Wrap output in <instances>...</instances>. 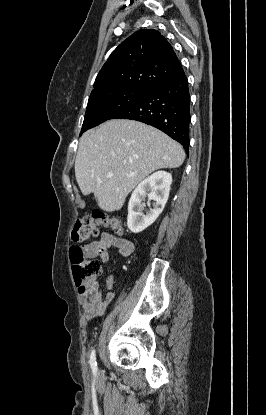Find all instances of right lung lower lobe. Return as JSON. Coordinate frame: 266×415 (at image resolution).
Segmentation results:
<instances>
[{
	"label": "right lung lower lobe",
	"instance_id": "obj_1",
	"mask_svg": "<svg viewBox=\"0 0 266 415\" xmlns=\"http://www.w3.org/2000/svg\"><path fill=\"white\" fill-rule=\"evenodd\" d=\"M118 118L154 126L181 143L188 153L190 94L184 71L155 85L143 99L111 117Z\"/></svg>",
	"mask_w": 266,
	"mask_h": 415
}]
</instances>
